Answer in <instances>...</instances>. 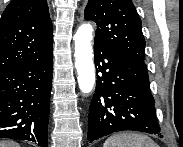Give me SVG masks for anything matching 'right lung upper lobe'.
I'll return each mask as SVG.
<instances>
[{"mask_svg": "<svg viewBox=\"0 0 183 147\" xmlns=\"http://www.w3.org/2000/svg\"><path fill=\"white\" fill-rule=\"evenodd\" d=\"M46 0H12L0 19V72L52 51Z\"/></svg>", "mask_w": 183, "mask_h": 147, "instance_id": "cb5924a9", "label": "right lung upper lobe"}]
</instances>
